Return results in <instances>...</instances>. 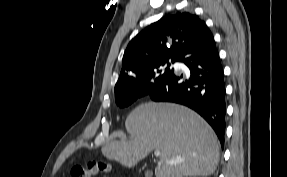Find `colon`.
<instances>
[{
    "label": "colon",
    "instance_id": "1",
    "mask_svg": "<svg viewBox=\"0 0 287 177\" xmlns=\"http://www.w3.org/2000/svg\"><path fill=\"white\" fill-rule=\"evenodd\" d=\"M111 166L104 162H92L87 167L73 168L72 177H99L101 174L110 171Z\"/></svg>",
    "mask_w": 287,
    "mask_h": 177
}]
</instances>
